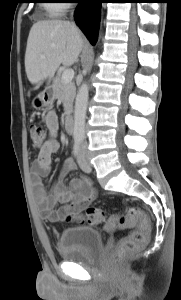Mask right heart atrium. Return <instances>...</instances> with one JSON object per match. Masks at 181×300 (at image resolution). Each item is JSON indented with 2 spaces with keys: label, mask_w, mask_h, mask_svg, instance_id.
Here are the masks:
<instances>
[{
  "label": "right heart atrium",
  "mask_w": 181,
  "mask_h": 300,
  "mask_svg": "<svg viewBox=\"0 0 181 300\" xmlns=\"http://www.w3.org/2000/svg\"><path fill=\"white\" fill-rule=\"evenodd\" d=\"M58 1L67 2V1H70V0H58ZM59 4H61L64 7V9H65L66 4H64V3H59Z\"/></svg>",
  "instance_id": "d8ad5b80"
}]
</instances>
